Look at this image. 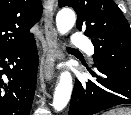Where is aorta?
<instances>
[{
  "label": "aorta",
  "instance_id": "obj_1",
  "mask_svg": "<svg viewBox=\"0 0 131 115\" xmlns=\"http://www.w3.org/2000/svg\"><path fill=\"white\" fill-rule=\"evenodd\" d=\"M76 21L75 13L68 8L60 10L56 16V26L60 34H66L71 30ZM72 76L69 71L60 74L59 83L53 97V107L56 111L63 110L68 104L72 93Z\"/></svg>",
  "mask_w": 131,
  "mask_h": 115
}]
</instances>
